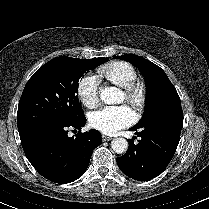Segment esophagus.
I'll list each match as a JSON object with an SVG mask.
<instances>
[{
	"instance_id": "obj_1",
	"label": "esophagus",
	"mask_w": 209,
	"mask_h": 209,
	"mask_svg": "<svg viewBox=\"0 0 209 209\" xmlns=\"http://www.w3.org/2000/svg\"><path fill=\"white\" fill-rule=\"evenodd\" d=\"M112 138L106 135H102V141H110Z\"/></svg>"
}]
</instances>
